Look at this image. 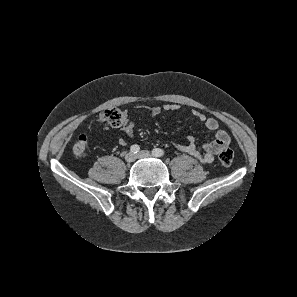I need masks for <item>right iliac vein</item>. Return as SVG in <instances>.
<instances>
[{"instance_id":"1","label":"right iliac vein","mask_w":297,"mask_h":297,"mask_svg":"<svg viewBox=\"0 0 297 297\" xmlns=\"http://www.w3.org/2000/svg\"><path fill=\"white\" fill-rule=\"evenodd\" d=\"M135 159H136V155L133 154L132 152H129L125 155V161L128 163L135 161Z\"/></svg>"}]
</instances>
